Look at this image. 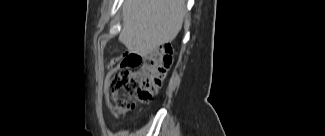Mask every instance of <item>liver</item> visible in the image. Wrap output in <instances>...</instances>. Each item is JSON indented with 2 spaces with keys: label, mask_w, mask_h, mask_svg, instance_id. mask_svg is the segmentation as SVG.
Returning <instances> with one entry per match:
<instances>
[{
  "label": "liver",
  "mask_w": 325,
  "mask_h": 136,
  "mask_svg": "<svg viewBox=\"0 0 325 136\" xmlns=\"http://www.w3.org/2000/svg\"><path fill=\"white\" fill-rule=\"evenodd\" d=\"M185 0H126L119 41L142 57L171 42L182 28Z\"/></svg>",
  "instance_id": "obj_1"
}]
</instances>
